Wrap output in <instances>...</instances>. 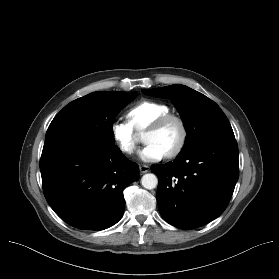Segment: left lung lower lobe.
Here are the masks:
<instances>
[{"instance_id":"0a47b994","label":"left lung lower lobe","mask_w":279,"mask_h":279,"mask_svg":"<svg viewBox=\"0 0 279 279\" xmlns=\"http://www.w3.org/2000/svg\"><path fill=\"white\" fill-rule=\"evenodd\" d=\"M157 202L164 220L194 229L217 218L227 207L239 177L235 138L201 142L174 162L155 165Z\"/></svg>"}]
</instances>
